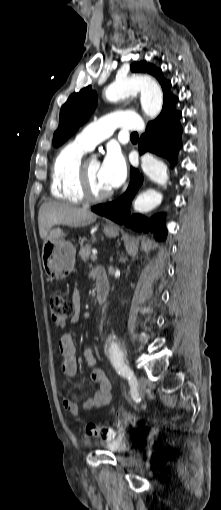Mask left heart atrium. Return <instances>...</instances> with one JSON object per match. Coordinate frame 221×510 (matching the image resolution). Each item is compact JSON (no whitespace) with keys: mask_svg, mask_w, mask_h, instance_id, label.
Segmentation results:
<instances>
[{"mask_svg":"<svg viewBox=\"0 0 221 510\" xmlns=\"http://www.w3.org/2000/svg\"><path fill=\"white\" fill-rule=\"evenodd\" d=\"M126 162L119 148L109 146L107 153L100 164V176L110 189L118 188L126 177Z\"/></svg>","mask_w":221,"mask_h":510,"instance_id":"1","label":"left heart atrium"}]
</instances>
